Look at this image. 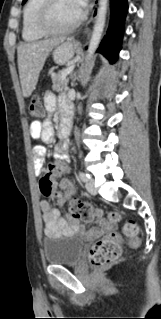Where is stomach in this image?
<instances>
[{"instance_id": "stomach-1", "label": "stomach", "mask_w": 161, "mask_h": 319, "mask_svg": "<svg viewBox=\"0 0 161 319\" xmlns=\"http://www.w3.org/2000/svg\"><path fill=\"white\" fill-rule=\"evenodd\" d=\"M75 48L72 42L67 41L56 46L53 50V59L58 64H65L74 55Z\"/></svg>"}]
</instances>
